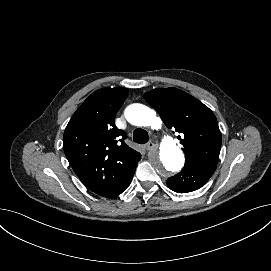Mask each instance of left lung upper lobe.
Instances as JSON below:
<instances>
[{
  "instance_id": "1",
  "label": "left lung upper lobe",
  "mask_w": 271,
  "mask_h": 271,
  "mask_svg": "<svg viewBox=\"0 0 271 271\" xmlns=\"http://www.w3.org/2000/svg\"><path fill=\"white\" fill-rule=\"evenodd\" d=\"M168 128H175L183 145L185 166L217 165L221 132L213 112L198 99L177 88L154 89L144 94Z\"/></svg>"
}]
</instances>
